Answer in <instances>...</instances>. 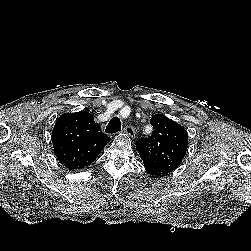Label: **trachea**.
Here are the masks:
<instances>
[{"label":"trachea","instance_id":"1","mask_svg":"<svg viewBox=\"0 0 251 251\" xmlns=\"http://www.w3.org/2000/svg\"><path fill=\"white\" fill-rule=\"evenodd\" d=\"M121 130V122L118 117H114L108 123L105 132L108 134H115Z\"/></svg>","mask_w":251,"mask_h":251}]
</instances>
